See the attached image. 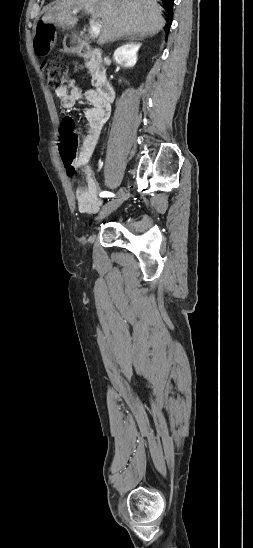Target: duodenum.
Segmentation results:
<instances>
[{
  "label": "duodenum",
  "instance_id": "410a0bca",
  "mask_svg": "<svg viewBox=\"0 0 253 548\" xmlns=\"http://www.w3.org/2000/svg\"><path fill=\"white\" fill-rule=\"evenodd\" d=\"M72 45L77 49V52L81 57L88 59L95 64H100L102 62L103 57L100 50L93 49L81 41H74ZM96 90L98 95L106 101H113L115 97V89L104 73H101L98 77Z\"/></svg>",
  "mask_w": 253,
  "mask_h": 548
}]
</instances>
